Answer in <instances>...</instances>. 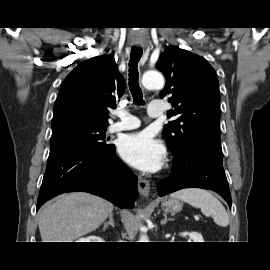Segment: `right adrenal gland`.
I'll use <instances>...</instances> for the list:
<instances>
[{"label":"right adrenal gland","instance_id":"2a0ac1e0","mask_svg":"<svg viewBox=\"0 0 270 270\" xmlns=\"http://www.w3.org/2000/svg\"><path fill=\"white\" fill-rule=\"evenodd\" d=\"M113 213H111L110 214V216H109V220L107 221V222H105L104 223V230H106L110 225L112 226V227H115V225H114V220H113Z\"/></svg>","mask_w":270,"mask_h":270}]
</instances>
